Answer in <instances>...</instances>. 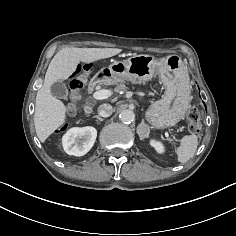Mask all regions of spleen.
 Instances as JSON below:
<instances>
[{"mask_svg":"<svg viewBox=\"0 0 236 236\" xmlns=\"http://www.w3.org/2000/svg\"><path fill=\"white\" fill-rule=\"evenodd\" d=\"M198 139L196 135H186L180 140V146L175 150L180 163L187 162L196 152Z\"/></svg>","mask_w":236,"mask_h":236,"instance_id":"3e777b00","label":"spleen"}]
</instances>
